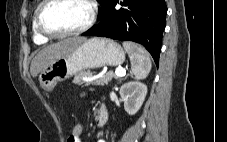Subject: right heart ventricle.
Instances as JSON below:
<instances>
[{
  "instance_id": "e07e8e85",
  "label": "right heart ventricle",
  "mask_w": 227,
  "mask_h": 142,
  "mask_svg": "<svg viewBox=\"0 0 227 142\" xmlns=\"http://www.w3.org/2000/svg\"><path fill=\"white\" fill-rule=\"evenodd\" d=\"M41 3L37 5L35 11H34V15H33V19H32V30H33V39L36 43L38 44H43L46 43L48 41V37L43 36L42 34H40L37 30V26H36V14L37 11L40 7Z\"/></svg>"
}]
</instances>
